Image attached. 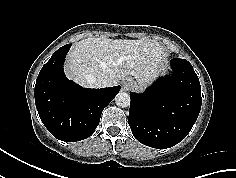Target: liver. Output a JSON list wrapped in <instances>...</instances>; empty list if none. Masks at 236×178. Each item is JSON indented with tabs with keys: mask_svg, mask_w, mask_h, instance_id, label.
I'll return each instance as SVG.
<instances>
[{
	"mask_svg": "<svg viewBox=\"0 0 236 178\" xmlns=\"http://www.w3.org/2000/svg\"><path fill=\"white\" fill-rule=\"evenodd\" d=\"M167 56L165 49L150 39L87 38L69 51L66 75L86 87H95L89 77H106L108 86H113L128 75L145 85L166 68Z\"/></svg>",
	"mask_w": 236,
	"mask_h": 178,
	"instance_id": "liver-1",
	"label": "liver"
}]
</instances>
